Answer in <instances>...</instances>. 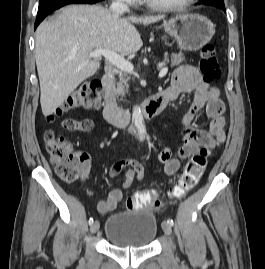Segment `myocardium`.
Masks as SVG:
<instances>
[{
  "label": "myocardium",
  "mask_w": 265,
  "mask_h": 269,
  "mask_svg": "<svg viewBox=\"0 0 265 269\" xmlns=\"http://www.w3.org/2000/svg\"><path fill=\"white\" fill-rule=\"evenodd\" d=\"M148 7L162 11H179L189 7L194 0H183L178 3H159L154 0H142Z\"/></svg>",
  "instance_id": "f54148a6"
}]
</instances>
